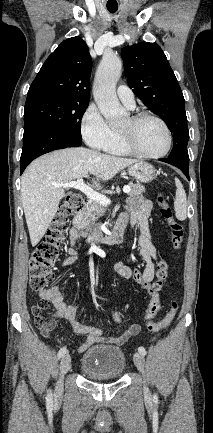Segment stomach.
Masks as SVG:
<instances>
[{
	"instance_id": "0dacf381",
	"label": "stomach",
	"mask_w": 213,
	"mask_h": 433,
	"mask_svg": "<svg viewBox=\"0 0 213 433\" xmlns=\"http://www.w3.org/2000/svg\"><path fill=\"white\" fill-rule=\"evenodd\" d=\"M128 174L142 183H147L155 178L156 170L151 164L138 161L128 167Z\"/></svg>"
}]
</instances>
